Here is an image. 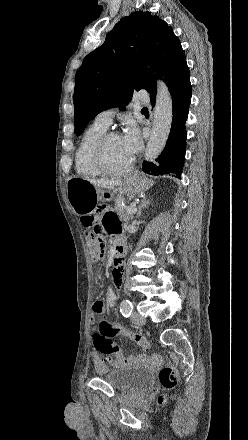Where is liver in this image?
Instances as JSON below:
<instances>
[{
  "label": "liver",
  "mask_w": 248,
  "mask_h": 440,
  "mask_svg": "<svg viewBox=\"0 0 248 440\" xmlns=\"http://www.w3.org/2000/svg\"><path fill=\"white\" fill-rule=\"evenodd\" d=\"M89 182L91 184H93L95 187L98 188H105V189H112L115 186H118L121 184V180L120 179H103V180H95V179H90Z\"/></svg>",
  "instance_id": "6515ba94"
}]
</instances>
